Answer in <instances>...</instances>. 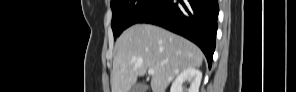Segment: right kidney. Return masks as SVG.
<instances>
[{
	"label": "right kidney",
	"mask_w": 296,
	"mask_h": 92,
	"mask_svg": "<svg viewBox=\"0 0 296 92\" xmlns=\"http://www.w3.org/2000/svg\"><path fill=\"white\" fill-rule=\"evenodd\" d=\"M201 79L202 72L199 69L193 67L187 68L181 71V73L173 81L172 86L170 88V92H182V85L184 82L190 83L188 92H199Z\"/></svg>",
	"instance_id": "right-kidney-1"
}]
</instances>
